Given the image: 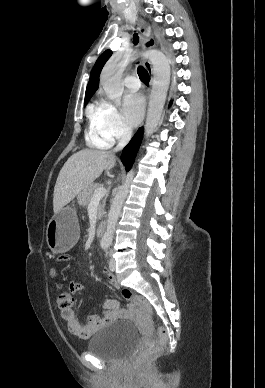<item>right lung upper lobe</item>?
<instances>
[{
    "mask_svg": "<svg viewBox=\"0 0 265 388\" xmlns=\"http://www.w3.org/2000/svg\"><path fill=\"white\" fill-rule=\"evenodd\" d=\"M112 55V52L110 50H106L96 61L91 74H90V80L86 88L85 93V103H87L90 98L93 96L95 91L98 89L99 84V75L100 72L106 63V61L110 58Z\"/></svg>",
    "mask_w": 265,
    "mask_h": 388,
    "instance_id": "1",
    "label": "right lung upper lobe"
}]
</instances>
